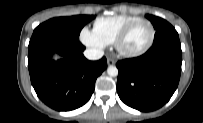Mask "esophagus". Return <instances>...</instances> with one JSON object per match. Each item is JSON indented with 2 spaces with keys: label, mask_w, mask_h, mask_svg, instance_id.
Instances as JSON below:
<instances>
[{
  "label": "esophagus",
  "mask_w": 203,
  "mask_h": 123,
  "mask_svg": "<svg viewBox=\"0 0 203 123\" xmlns=\"http://www.w3.org/2000/svg\"><path fill=\"white\" fill-rule=\"evenodd\" d=\"M107 64H108L109 66H112V65L115 64V61H114L113 59H111V58H108V59H107Z\"/></svg>",
  "instance_id": "obj_1"
}]
</instances>
